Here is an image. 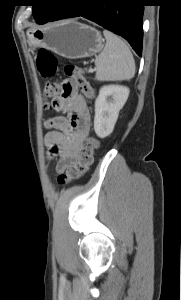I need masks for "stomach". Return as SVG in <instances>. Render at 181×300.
<instances>
[{"label": "stomach", "instance_id": "1", "mask_svg": "<svg viewBox=\"0 0 181 300\" xmlns=\"http://www.w3.org/2000/svg\"><path fill=\"white\" fill-rule=\"evenodd\" d=\"M27 36L31 47H43L68 59L93 56L103 46L97 29L74 20L29 29Z\"/></svg>", "mask_w": 181, "mask_h": 300}]
</instances>
